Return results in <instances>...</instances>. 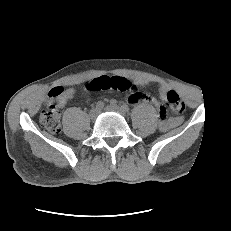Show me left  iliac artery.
I'll use <instances>...</instances> for the list:
<instances>
[{"instance_id": "44dca946", "label": "left iliac artery", "mask_w": 231, "mask_h": 231, "mask_svg": "<svg viewBox=\"0 0 231 231\" xmlns=\"http://www.w3.org/2000/svg\"><path fill=\"white\" fill-rule=\"evenodd\" d=\"M121 108L123 109L124 112H129L130 110V108L126 104H123Z\"/></svg>"}]
</instances>
